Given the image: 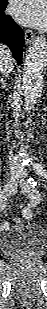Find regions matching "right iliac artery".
<instances>
[{"label": "right iliac artery", "mask_w": 47, "mask_h": 309, "mask_svg": "<svg viewBox=\"0 0 47 309\" xmlns=\"http://www.w3.org/2000/svg\"><path fill=\"white\" fill-rule=\"evenodd\" d=\"M6 208V198L3 194L0 195V209L3 211ZM8 227V223L7 222H3V224L1 225V229L7 228Z\"/></svg>", "instance_id": "right-iliac-artery-1"}]
</instances>
